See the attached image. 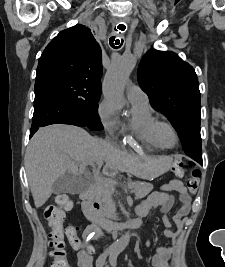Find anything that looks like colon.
I'll return each instance as SVG.
<instances>
[{
  "label": "colon",
  "mask_w": 225,
  "mask_h": 267,
  "mask_svg": "<svg viewBox=\"0 0 225 267\" xmlns=\"http://www.w3.org/2000/svg\"><path fill=\"white\" fill-rule=\"evenodd\" d=\"M186 162L179 156H176L172 163V171L179 177L185 173ZM201 173L198 169L192 171V175L187 182L190 193H195L199 187ZM59 206L49 205L45 209V217L49 221L51 231L49 234V247L52 263L50 267H70L68 254L66 250L67 238L73 249L83 247L78 236V227L69 224L66 227L62 225L63 211L70 206V201L67 197L62 196L58 200Z\"/></svg>",
  "instance_id": "obj_1"
}]
</instances>
